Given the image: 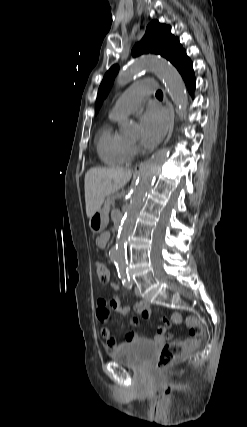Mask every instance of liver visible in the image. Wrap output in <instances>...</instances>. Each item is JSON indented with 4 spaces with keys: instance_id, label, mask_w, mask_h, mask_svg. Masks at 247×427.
Returning <instances> with one entry per match:
<instances>
[{
    "instance_id": "1",
    "label": "liver",
    "mask_w": 247,
    "mask_h": 427,
    "mask_svg": "<svg viewBox=\"0 0 247 427\" xmlns=\"http://www.w3.org/2000/svg\"><path fill=\"white\" fill-rule=\"evenodd\" d=\"M131 176L132 171L125 168H90L84 179L87 217L99 211L105 197L124 187Z\"/></svg>"
}]
</instances>
